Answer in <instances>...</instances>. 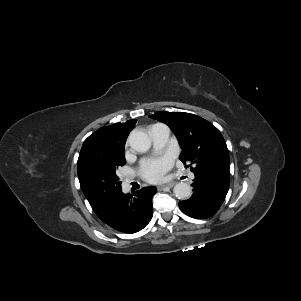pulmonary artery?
<instances>
[{
    "mask_svg": "<svg viewBox=\"0 0 301 301\" xmlns=\"http://www.w3.org/2000/svg\"><path fill=\"white\" fill-rule=\"evenodd\" d=\"M149 135L151 137L154 149L156 151H161L165 148L168 143L170 136V129L167 125L157 123L149 127ZM193 177V175L191 176Z\"/></svg>",
    "mask_w": 301,
    "mask_h": 301,
    "instance_id": "obj_1",
    "label": "pulmonary artery"
}]
</instances>
